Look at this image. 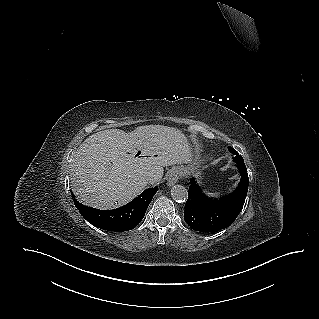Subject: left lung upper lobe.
I'll list each match as a JSON object with an SVG mask.
<instances>
[{
    "mask_svg": "<svg viewBox=\"0 0 319 319\" xmlns=\"http://www.w3.org/2000/svg\"><path fill=\"white\" fill-rule=\"evenodd\" d=\"M228 150L233 154L235 155V157L233 158V161L236 163V164H244V160L242 158L241 155H239V153L232 147H228Z\"/></svg>",
    "mask_w": 319,
    "mask_h": 319,
    "instance_id": "1",
    "label": "left lung upper lobe"
}]
</instances>
